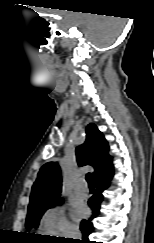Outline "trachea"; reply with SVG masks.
I'll list each match as a JSON object with an SVG mask.
<instances>
[{
    "label": "trachea",
    "instance_id": "trachea-1",
    "mask_svg": "<svg viewBox=\"0 0 154 243\" xmlns=\"http://www.w3.org/2000/svg\"><path fill=\"white\" fill-rule=\"evenodd\" d=\"M86 181L88 182L89 187H94V184H93L92 177H91L90 173H88L86 175Z\"/></svg>",
    "mask_w": 154,
    "mask_h": 243
}]
</instances>
